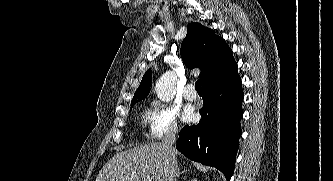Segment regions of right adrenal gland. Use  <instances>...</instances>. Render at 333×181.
<instances>
[{
  "label": "right adrenal gland",
  "instance_id": "right-adrenal-gland-1",
  "mask_svg": "<svg viewBox=\"0 0 333 181\" xmlns=\"http://www.w3.org/2000/svg\"><path fill=\"white\" fill-rule=\"evenodd\" d=\"M185 172H186L185 170L180 171V168H177V174H176V177H175V180H174V181H177L178 178H179L182 174H184Z\"/></svg>",
  "mask_w": 333,
  "mask_h": 181
}]
</instances>
